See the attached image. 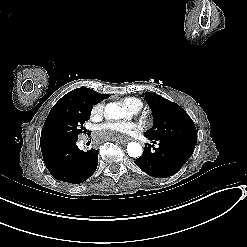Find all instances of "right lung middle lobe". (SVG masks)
Listing matches in <instances>:
<instances>
[{
  "mask_svg": "<svg viewBox=\"0 0 247 247\" xmlns=\"http://www.w3.org/2000/svg\"><path fill=\"white\" fill-rule=\"evenodd\" d=\"M92 107L78 99H68L55 104L44 123L40 146L46 148L78 140L85 131V121L90 119Z\"/></svg>",
  "mask_w": 247,
  "mask_h": 247,
  "instance_id": "dd1d6c3e",
  "label": "right lung middle lobe"
}]
</instances>
